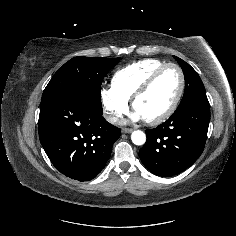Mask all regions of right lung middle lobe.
I'll return each instance as SVG.
<instances>
[{
    "label": "right lung middle lobe",
    "instance_id": "obj_1",
    "mask_svg": "<svg viewBox=\"0 0 236 236\" xmlns=\"http://www.w3.org/2000/svg\"><path fill=\"white\" fill-rule=\"evenodd\" d=\"M120 58L74 57L53 75L46 86L41 104L61 95H75L95 107H101L104 76Z\"/></svg>",
    "mask_w": 236,
    "mask_h": 236
}]
</instances>
